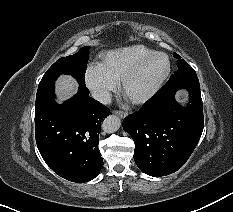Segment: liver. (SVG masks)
Segmentation results:
<instances>
[{
    "mask_svg": "<svg viewBox=\"0 0 233 212\" xmlns=\"http://www.w3.org/2000/svg\"><path fill=\"white\" fill-rule=\"evenodd\" d=\"M78 85L70 76H61L56 82V92L59 96V102L68 99L77 92Z\"/></svg>",
    "mask_w": 233,
    "mask_h": 212,
    "instance_id": "6515ba94",
    "label": "liver"
}]
</instances>
